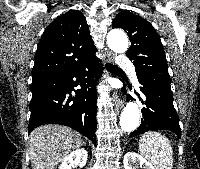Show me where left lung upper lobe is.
I'll return each instance as SVG.
<instances>
[{
  "instance_id": "left-lung-upper-lobe-1",
  "label": "left lung upper lobe",
  "mask_w": 200,
  "mask_h": 169,
  "mask_svg": "<svg viewBox=\"0 0 200 169\" xmlns=\"http://www.w3.org/2000/svg\"><path fill=\"white\" fill-rule=\"evenodd\" d=\"M112 27L127 32L131 41L127 56L133 61L138 78L170 83L165 52L151 23L129 11H122L113 19Z\"/></svg>"
}]
</instances>
